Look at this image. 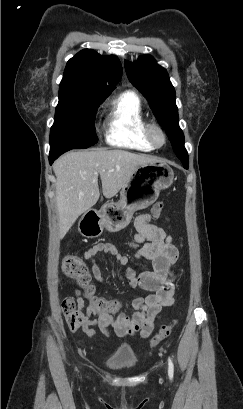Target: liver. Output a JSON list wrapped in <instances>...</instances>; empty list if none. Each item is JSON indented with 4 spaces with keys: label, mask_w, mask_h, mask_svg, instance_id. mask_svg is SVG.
Masks as SVG:
<instances>
[{
    "label": "liver",
    "mask_w": 243,
    "mask_h": 409,
    "mask_svg": "<svg viewBox=\"0 0 243 409\" xmlns=\"http://www.w3.org/2000/svg\"><path fill=\"white\" fill-rule=\"evenodd\" d=\"M156 159L124 150L68 152L53 165L56 176V207L59 238L62 239L77 218L99 199L98 175L105 198H112L132 174Z\"/></svg>",
    "instance_id": "obj_1"
}]
</instances>
